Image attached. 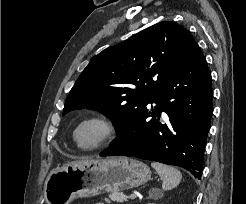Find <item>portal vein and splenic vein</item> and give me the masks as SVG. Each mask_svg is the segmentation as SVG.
<instances>
[{
    "mask_svg": "<svg viewBox=\"0 0 246 204\" xmlns=\"http://www.w3.org/2000/svg\"><path fill=\"white\" fill-rule=\"evenodd\" d=\"M128 198H129V199H134V198H135V195L132 194V195L128 196Z\"/></svg>",
    "mask_w": 246,
    "mask_h": 204,
    "instance_id": "portal-vein-and-splenic-vein-1",
    "label": "portal vein and splenic vein"
}]
</instances>
